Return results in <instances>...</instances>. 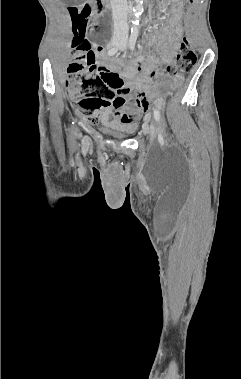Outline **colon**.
I'll return each instance as SVG.
<instances>
[{
	"instance_id": "obj_1",
	"label": "colon",
	"mask_w": 241,
	"mask_h": 379,
	"mask_svg": "<svg viewBox=\"0 0 241 379\" xmlns=\"http://www.w3.org/2000/svg\"><path fill=\"white\" fill-rule=\"evenodd\" d=\"M95 1V10L89 5L70 6L69 14L73 26L79 37L73 40V60L68 67L69 79L67 82L70 96L85 112L90 122H97L102 110L109 108L118 95H126L129 88L125 86L119 76L109 68L96 63V53L100 48H95L84 35L88 29L89 18L100 10L102 0ZM190 3L194 0H188ZM196 63V54L191 49L188 40L180 42L175 53V61L166 69L180 79L189 73ZM176 87L165 84L164 87H152L149 97L163 94L168 99H173ZM147 101V100H142Z\"/></svg>"
}]
</instances>
